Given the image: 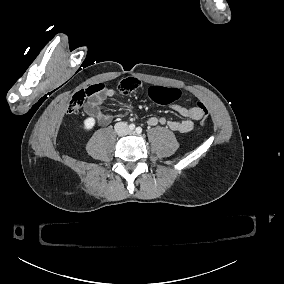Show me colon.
Returning <instances> with one entry per match:
<instances>
[{
  "label": "colon",
  "instance_id": "obj_1",
  "mask_svg": "<svg viewBox=\"0 0 284 284\" xmlns=\"http://www.w3.org/2000/svg\"><path fill=\"white\" fill-rule=\"evenodd\" d=\"M140 85L141 83L137 79H126L121 83L122 93L127 94L132 92ZM102 89L103 85L101 83H95L86 89L76 91L68 102V112L72 114L78 113L85 98L99 93ZM147 95L149 99L156 101L158 104H167L178 101L181 93L176 87L162 88L161 86H153L149 88ZM197 107H200V111L204 114V117L200 119V124H207V119H209L208 108H206L205 105H202V102H197Z\"/></svg>",
  "mask_w": 284,
  "mask_h": 284
}]
</instances>
